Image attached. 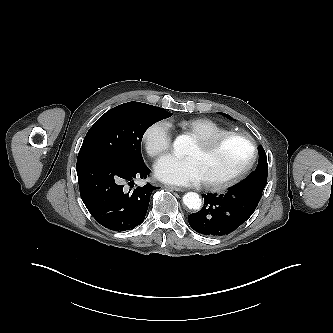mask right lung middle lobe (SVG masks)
Instances as JSON below:
<instances>
[{"mask_svg": "<svg viewBox=\"0 0 333 333\" xmlns=\"http://www.w3.org/2000/svg\"><path fill=\"white\" fill-rule=\"evenodd\" d=\"M172 115L160 107L128 102L103 114L90 128L79 156L106 154L141 163V140L155 122Z\"/></svg>", "mask_w": 333, "mask_h": 333, "instance_id": "1", "label": "right lung middle lobe"}]
</instances>
